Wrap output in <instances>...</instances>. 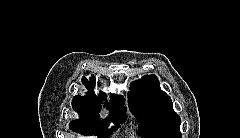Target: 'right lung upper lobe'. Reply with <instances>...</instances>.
Masks as SVG:
<instances>
[{"instance_id":"obj_1","label":"right lung upper lobe","mask_w":240,"mask_h":138,"mask_svg":"<svg viewBox=\"0 0 240 138\" xmlns=\"http://www.w3.org/2000/svg\"><path fill=\"white\" fill-rule=\"evenodd\" d=\"M83 84H85L88 92L85 97L77 95L72 100L73 109L80 115V119L74 120L72 122H80L86 124H93L98 120L99 113L96 110H100V100H107L105 93H100L99 98L95 95L92 85L95 84V78L92 76L90 79L91 84L86 78H82ZM112 102L108 103L110 109L109 117L104 121H99L98 125L109 126L110 122L115 124L123 123L126 120L125 108L122 106L124 103L122 98L119 96L112 95ZM96 109V110H95Z\"/></svg>"}]
</instances>
